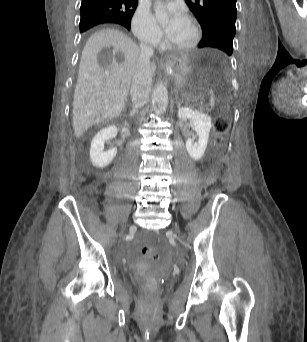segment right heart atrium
<instances>
[{"mask_svg":"<svg viewBox=\"0 0 307 342\" xmlns=\"http://www.w3.org/2000/svg\"><path fill=\"white\" fill-rule=\"evenodd\" d=\"M132 34L142 41H154L157 32L144 12H137L131 22Z\"/></svg>","mask_w":307,"mask_h":342,"instance_id":"1","label":"right heart atrium"}]
</instances>
